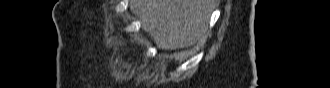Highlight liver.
Masks as SVG:
<instances>
[{
	"instance_id": "liver-1",
	"label": "liver",
	"mask_w": 330,
	"mask_h": 88,
	"mask_svg": "<svg viewBox=\"0 0 330 88\" xmlns=\"http://www.w3.org/2000/svg\"><path fill=\"white\" fill-rule=\"evenodd\" d=\"M214 0H133L131 11L162 50H176L204 41Z\"/></svg>"
}]
</instances>
